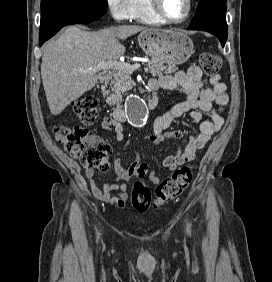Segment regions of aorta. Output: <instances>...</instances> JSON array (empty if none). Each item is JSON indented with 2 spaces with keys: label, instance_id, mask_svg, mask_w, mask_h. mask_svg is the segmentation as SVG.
<instances>
[{
  "label": "aorta",
  "instance_id": "aorta-1",
  "mask_svg": "<svg viewBox=\"0 0 272 282\" xmlns=\"http://www.w3.org/2000/svg\"><path fill=\"white\" fill-rule=\"evenodd\" d=\"M127 111L129 121L133 125L142 127L146 124L149 113L143 99L140 96L136 94L129 96L127 101Z\"/></svg>",
  "mask_w": 272,
  "mask_h": 282
}]
</instances>
